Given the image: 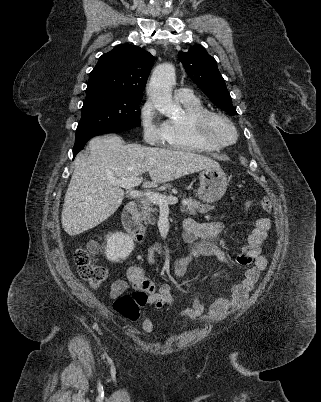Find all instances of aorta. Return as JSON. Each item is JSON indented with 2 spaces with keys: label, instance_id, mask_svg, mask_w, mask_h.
Returning <instances> with one entry per match:
<instances>
[{
  "label": "aorta",
  "instance_id": "1",
  "mask_svg": "<svg viewBox=\"0 0 321 402\" xmlns=\"http://www.w3.org/2000/svg\"><path fill=\"white\" fill-rule=\"evenodd\" d=\"M175 81V68L170 63L158 65L151 76L147 93L156 109L171 117L178 113L180 105L172 99V86Z\"/></svg>",
  "mask_w": 321,
  "mask_h": 402
}]
</instances>
